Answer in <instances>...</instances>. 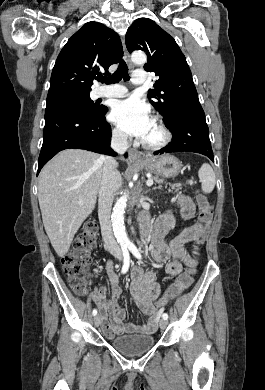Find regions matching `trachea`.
<instances>
[{
    "label": "trachea",
    "mask_w": 265,
    "mask_h": 390,
    "mask_svg": "<svg viewBox=\"0 0 265 390\" xmlns=\"http://www.w3.org/2000/svg\"><path fill=\"white\" fill-rule=\"evenodd\" d=\"M123 78L125 81H128L130 79L129 74H128V67L125 63V61L121 60L119 62L118 69L116 72L109 76V77H103L100 78L99 81L102 83L110 84V83H117Z\"/></svg>",
    "instance_id": "obj_1"
}]
</instances>
